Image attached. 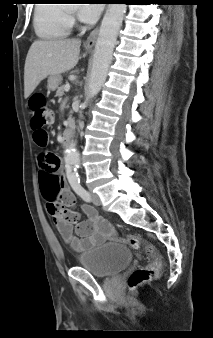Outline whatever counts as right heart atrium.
Wrapping results in <instances>:
<instances>
[{"instance_id":"d8ad5b80","label":"right heart atrium","mask_w":213,"mask_h":338,"mask_svg":"<svg viewBox=\"0 0 213 338\" xmlns=\"http://www.w3.org/2000/svg\"><path fill=\"white\" fill-rule=\"evenodd\" d=\"M67 22L68 23H72L73 22V16L72 15H68L67 16Z\"/></svg>"}]
</instances>
